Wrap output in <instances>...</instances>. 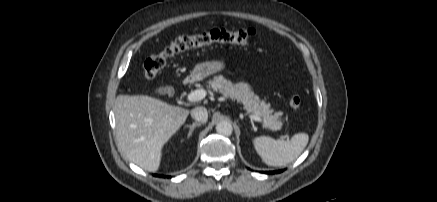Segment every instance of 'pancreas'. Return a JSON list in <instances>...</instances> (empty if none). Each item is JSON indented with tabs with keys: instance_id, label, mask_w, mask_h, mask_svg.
Returning a JSON list of instances; mask_svg holds the SVG:
<instances>
[{
	"instance_id": "1",
	"label": "pancreas",
	"mask_w": 437,
	"mask_h": 202,
	"mask_svg": "<svg viewBox=\"0 0 437 202\" xmlns=\"http://www.w3.org/2000/svg\"><path fill=\"white\" fill-rule=\"evenodd\" d=\"M209 88L221 93L225 97L242 103L247 112L260 116L263 119L265 128L271 129L272 131L281 129V116L283 113L281 111L274 112V110L270 108V104H267L264 100H260L247 83L240 82L233 84L222 75H219L209 81Z\"/></svg>"
}]
</instances>
